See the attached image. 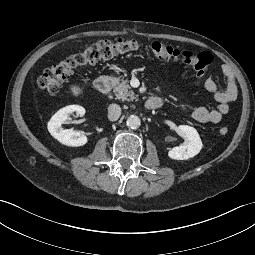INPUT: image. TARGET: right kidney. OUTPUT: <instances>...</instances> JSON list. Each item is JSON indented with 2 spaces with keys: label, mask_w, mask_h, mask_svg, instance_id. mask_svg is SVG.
I'll return each mask as SVG.
<instances>
[{
  "label": "right kidney",
  "mask_w": 255,
  "mask_h": 255,
  "mask_svg": "<svg viewBox=\"0 0 255 255\" xmlns=\"http://www.w3.org/2000/svg\"><path fill=\"white\" fill-rule=\"evenodd\" d=\"M74 112L83 116L85 114V109L79 105L66 106L52 116L48 122L47 128L49 133L60 143L66 146L79 147L88 142L87 136L83 133L80 134L73 129H64L62 127V124L66 121L68 114Z\"/></svg>",
  "instance_id": "ca27d5eb"
}]
</instances>
